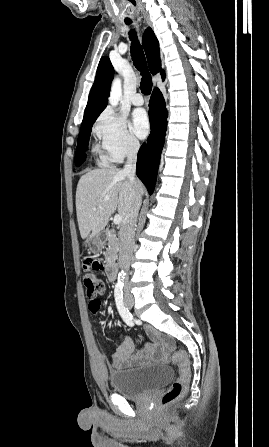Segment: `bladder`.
I'll list each match as a JSON object with an SVG mask.
<instances>
[{
  "label": "bladder",
  "mask_w": 269,
  "mask_h": 447,
  "mask_svg": "<svg viewBox=\"0 0 269 447\" xmlns=\"http://www.w3.org/2000/svg\"><path fill=\"white\" fill-rule=\"evenodd\" d=\"M173 371L168 365H151L112 373L109 384L113 392L122 397L140 398L172 380Z\"/></svg>",
  "instance_id": "bladder-1"
}]
</instances>
